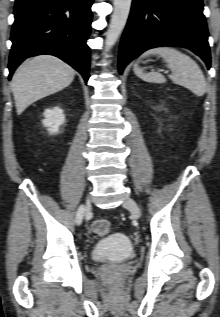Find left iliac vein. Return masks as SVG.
Here are the masks:
<instances>
[{"label":"left iliac vein","mask_w":220,"mask_h":317,"mask_svg":"<svg viewBox=\"0 0 220 317\" xmlns=\"http://www.w3.org/2000/svg\"><path fill=\"white\" fill-rule=\"evenodd\" d=\"M123 206L126 209H128L135 218H139L141 216V210H140L138 204L136 203V201L133 200L132 198L128 197L124 201Z\"/></svg>","instance_id":"4c4485c4"}]
</instances>
